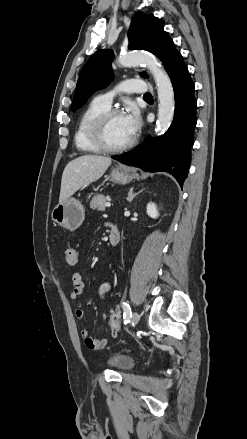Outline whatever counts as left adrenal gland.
<instances>
[{
	"mask_svg": "<svg viewBox=\"0 0 247 439\" xmlns=\"http://www.w3.org/2000/svg\"><path fill=\"white\" fill-rule=\"evenodd\" d=\"M133 189H134V188L131 187V188L129 189V191H128V197H127L128 202H131L137 194L141 193V192L144 190V189H142V190H140L139 192L134 193V192H133Z\"/></svg>",
	"mask_w": 247,
	"mask_h": 439,
	"instance_id": "obj_1",
	"label": "left adrenal gland"
}]
</instances>
